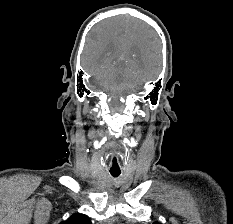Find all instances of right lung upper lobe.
I'll return each instance as SVG.
<instances>
[{
	"instance_id": "cb5924a9",
	"label": "right lung upper lobe",
	"mask_w": 233,
	"mask_h": 224,
	"mask_svg": "<svg viewBox=\"0 0 233 224\" xmlns=\"http://www.w3.org/2000/svg\"><path fill=\"white\" fill-rule=\"evenodd\" d=\"M60 224H91L88 216L84 214H73L68 220L61 222Z\"/></svg>"
}]
</instances>
